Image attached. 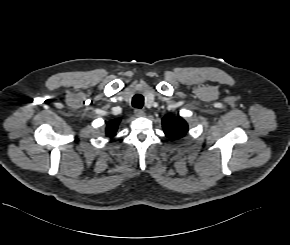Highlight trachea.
Wrapping results in <instances>:
<instances>
[{"instance_id": "1", "label": "trachea", "mask_w": 290, "mask_h": 245, "mask_svg": "<svg viewBox=\"0 0 290 245\" xmlns=\"http://www.w3.org/2000/svg\"><path fill=\"white\" fill-rule=\"evenodd\" d=\"M144 104V97L140 94H136L132 99V105L135 108H142Z\"/></svg>"}]
</instances>
